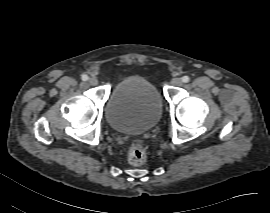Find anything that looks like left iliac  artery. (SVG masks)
<instances>
[{
  "mask_svg": "<svg viewBox=\"0 0 270 213\" xmlns=\"http://www.w3.org/2000/svg\"><path fill=\"white\" fill-rule=\"evenodd\" d=\"M182 81H183L184 83H187V82L190 81V78H189L188 76H183V77H182Z\"/></svg>",
  "mask_w": 270,
  "mask_h": 213,
  "instance_id": "obj_1",
  "label": "left iliac artery"
}]
</instances>
